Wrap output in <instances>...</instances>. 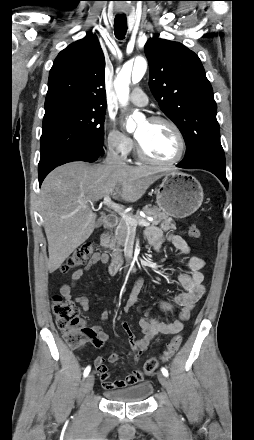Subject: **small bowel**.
I'll return each mask as SVG.
<instances>
[{
  "instance_id": "c3829d8e",
  "label": "small bowel",
  "mask_w": 254,
  "mask_h": 440,
  "mask_svg": "<svg viewBox=\"0 0 254 440\" xmlns=\"http://www.w3.org/2000/svg\"><path fill=\"white\" fill-rule=\"evenodd\" d=\"M145 240L147 244L154 250L159 251L163 242L168 241L172 243L176 249L182 254L187 255L190 252L189 245L179 235L165 234L157 227H149L145 231ZM108 261L107 254H96L90 261L82 268L77 269L71 276L70 282L64 284L61 289V295L66 299H73L83 311H88L90 308L89 300L84 295H77L73 297L72 290L83 275L89 272L98 264H104ZM205 266V261L198 256H191L186 261V271L177 276V280L182 287V292L177 293L172 302L160 300L158 307L163 313H172L175 305L180 307L178 316L174 319L163 320L159 315L150 311H145L143 316L139 319V327L142 332L140 338H136L131 327L123 323L122 328L129 338V344L132 350L134 361H138L140 356L146 351L151 340L159 334H174L181 331L184 323L189 320L195 304L200 300L205 292L204 275L202 269ZM143 286V280L137 279L130 291L125 310H129L137 306L139 295ZM109 318V312L104 309L100 313V319L106 321ZM94 336L89 338V341L96 348H102L104 343L108 340L109 335L101 325H96L92 328ZM120 357L116 353L110 354L108 357H98L95 361L100 380L105 389L124 388L135 385L144 381L143 372L139 369L134 370L124 379L109 381L110 372L106 363H117Z\"/></svg>"
}]
</instances>
